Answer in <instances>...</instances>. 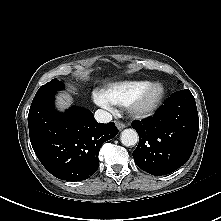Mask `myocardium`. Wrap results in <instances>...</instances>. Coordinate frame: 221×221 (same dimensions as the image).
<instances>
[{"label":"myocardium","mask_w":221,"mask_h":221,"mask_svg":"<svg viewBox=\"0 0 221 221\" xmlns=\"http://www.w3.org/2000/svg\"><path fill=\"white\" fill-rule=\"evenodd\" d=\"M154 92L150 100H146L149 92ZM165 95V88L159 82L147 84L127 105L130 116L137 119H144L151 116L161 104Z\"/></svg>","instance_id":"obj_1"}]
</instances>
